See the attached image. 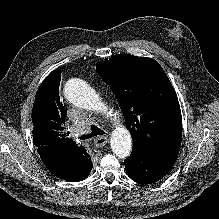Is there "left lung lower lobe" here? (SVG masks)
Masks as SVG:
<instances>
[{
    "instance_id": "obj_1",
    "label": "left lung lower lobe",
    "mask_w": 219,
    "mask_h": 219,
    "mask_svg": "<svg viewBox=\"0 0 219 219\" xmlns=\"http://www.w3.org/2000/svg\"><path fill=\"white\" fill-rule=\"evenodd\" d=\"M178 155H161L146 149H133L125 162L128 176L141 184L162 179L173 167Z\"/></svg>"
}]
</instances>
